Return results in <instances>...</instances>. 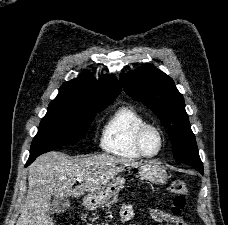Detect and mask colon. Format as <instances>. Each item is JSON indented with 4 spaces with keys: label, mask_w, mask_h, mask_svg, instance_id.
I'll return each instance as SVG.
<instances>
[{
    "label": "colon",
    "mask_w": 228,
    "mask_h": 225,
    "mask_svg": "<svg viewBox=\"0 0 228 225\" xmlns=\"http://www.w3.org/2000/svg\"><path fill=\"white\" fill-rule=\"evenodd\" d=\"M169 193L173 196L170 208L171 214H182L188 193L186 182L180 179L173 180L169 185Z\"/></svg>",
    "instance_id": "5ec220e1"
}]
</instances>
